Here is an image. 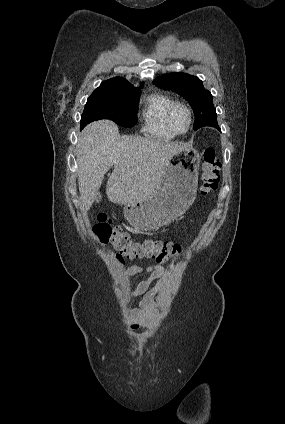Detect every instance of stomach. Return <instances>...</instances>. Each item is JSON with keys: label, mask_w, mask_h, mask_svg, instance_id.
Returning a JSON list of instances; mask_svg holds the SVG:
<instances>
[{"label": "stomach", "mask_w": 285, "mask_h": 424, "mask_svg": "<svg viewBox=\"0 0 285 424\" xmlns=\"http://www.w3.org/2000/svg\"><path fill=\"white\" fill-rule=\"evenodd\" d=\"M199 165L196 151L174 154L155 191L140 202L124 205L126 220L137 230L151 231L183 215L197 195Z\"/></svg>", "instance_id": "1"}]
</instances>
